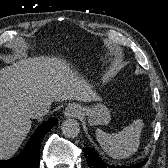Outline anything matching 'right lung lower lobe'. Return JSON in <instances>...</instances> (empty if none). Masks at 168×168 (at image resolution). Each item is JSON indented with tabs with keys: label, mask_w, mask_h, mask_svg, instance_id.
Wrapping results in <instances>:
<instances>
[{
	"label": "right lung lower lobe",
	"mask_w": 168,
	"mask_h": 168,
	"mask_svg": "<svg viewBox=\"0 0 168 168\" xmlns=\"http://www.w3.org/2000/svg\"><path fill=\"white\" fill-rule=\"evenodd\" d=\"M57 123V119H52L41 125L32 135L25 150L14 159L0 161V168H38L41 141L45 134Z\"/></svg>",
	"instance_id": "1"
}]
</instances>
